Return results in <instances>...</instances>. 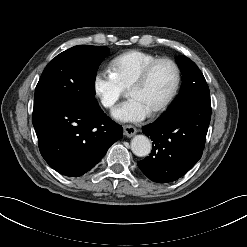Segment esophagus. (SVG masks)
<instances>
[{"label": "esophagus", "mask_w": 247, "mask_h": 247, "mask_svg": "<svg viewBox=\"0 0 247 247\" xmlns=\"http://www.w3.org/2000/svg\"><path fill=\"white\" fill-rule=\"evenodd\" d=\"M123 129H124V134L127 137H132L137 133V129L132 125H124Z\"/></svg>", "instance_id": "obj_1"}]
</instances>
